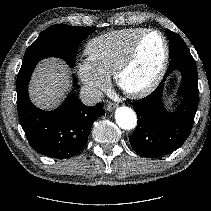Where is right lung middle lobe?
I'll list each match as a JSON object with an SVG mask.
<instances>
[{
	"instance_id": "1",
	"label": "right lung middle lobe",
	"mask_w": 211,
	"mask_h": 211,
	"mask_svg": "<svg viewBox=\"0 0 211 211\" xmlns=\"http://www.w3.org/2000/svg\"><path fill=\"white\" fill-rule=\"evenodd\" d=\"M94 31L92 27L53 25L43 31L28 47L21 67L52 56L64 59L70 67H73L81 42Z\"/></svg>"
}]
</instances>
